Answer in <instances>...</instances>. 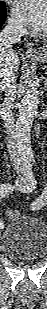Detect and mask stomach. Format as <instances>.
<instances>
[{"mask_svg":"<svg viewBox=\"0 0 47 309\" xmlns=\"http://www.w3.org/2000/svg\"><path fill=\"white\" fill-rule=\"evenodd\" d=\"M31 59H34V60L37 59V60L42 61L43 63H47V51H45L43 55L31 57Z\"/></svg>","mask_w":47,"mask_h":309,"instance_id":"obj_1","label":"stomach"}]
</instances>
